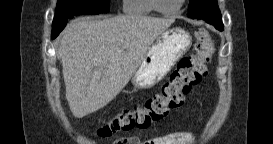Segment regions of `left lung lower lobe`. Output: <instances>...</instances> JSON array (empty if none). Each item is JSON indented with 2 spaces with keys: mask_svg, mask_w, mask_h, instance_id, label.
<instances>
[{
  "mask_svg": "<svg viewBox=\"0 0 273 144\" xmlns=\"http://www.w3.org/2000/svg\"><path fill=\"white\" fill-rule=\"evenodd\" d=\"M195 19L205 20L207 23L215 26L218 30H223L222 17L219 9H210L209 11L200 14Z\"/></svg>",
  "mask_w": 273,
  "mask_h": 144,
  "instance_id": "left-lung-lower-lobe-1",
  "label": "left lung lower lobe"
}]
</instances>
